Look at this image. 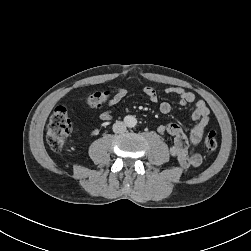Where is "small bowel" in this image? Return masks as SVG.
Here are the masks:
<instances>
[{"label":"small bowel","instance_id":"c3829d8e","mask_svg":"<svg viewBox=\"0 0 251 251\" xmlns=\"http://www.w3.org/2000/svg\"><path fill=\"white\" fill-rule=\"evenodd\" d=\"M130 85V84H129ZM166 94L176 95L179 98V104L186 106L187 104L195 102V107L192 113V119L197 122L191 130L189 137H187L180 126L174 123L161 125L157 128L158 133L164 135L168 134L173 137V145L170 147V154L179 164L185 168H195L201 165L202 157L195 151V147L201 142L204 132L209 124V108L203 100H197L194 93L185 90L181 87H168L164 90ZM128 93V86H121L116 88L115 94L107 102L106 107L101 111L99 117L104 122L112 120V111L110 107L121 102ZM144 93L148 100L152 103L158 101V92L152 86L144 88ZM159 110L163 114L171 111L169 102H161Z\"/></svg>","mask_w":251,"mask_h":251}]
</instances>
